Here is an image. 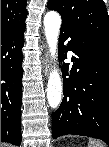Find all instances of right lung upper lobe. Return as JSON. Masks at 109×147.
<instances>
[{
	"mask_svg": "<svg viewBox=\"0 0 109 147\" xmlns=\"http://www.w3.org/2000/svg\"><path fill=\"white\" fill-rule=\"evenodd\" d=\"M26 0H1V36L25 25Z\"/></svg>",
	"mask_w": 109,
	"mask_h": 147,
	"instance_id": "1",
	"label": "right lung upper lobe"
}]
</instances>
